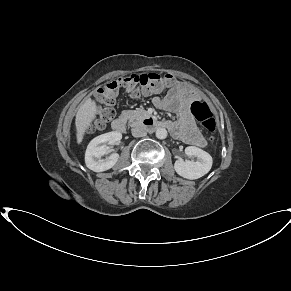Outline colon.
<instances>
[{"mask_svg": "<svg viewBox=\"0 0 291 291\" xmlns=\"http://www.w3.org/2000/svg\"><path fill=\"white\" fill-rule=\"evenodd\" d=\"M174 78L170 74L142 73L130 74L124 77L107 82L98 91V111L95 117V127L104 128L106 123L114 116V106L121 89L137 97L143 95L159 94L171 87ZM191 113L197 121L210 133L212 141H215L216 121L214 114L208 104L201 101H194L191 104Z\"/></svg>", "mask_w": 291, "mask_h": 291, "instance_id": "1", "label": "colon"}]
</instances>
